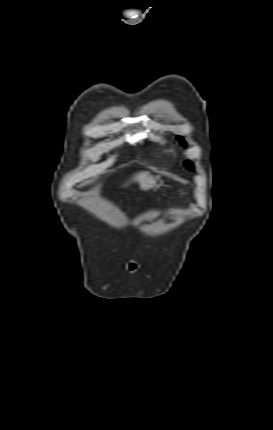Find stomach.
I'll return each mask as SVG.
<instances>
[{
	"instance_id": "stomach-1",
	"label": "stomach",
	"mask_w": 273,
	"mask_h": 430,
	"mask_svg": "<svg viewBox=\"0 0 273 430\" xmlns=\"http://www.w3.org/2000/svg\"><path fill=\"white\" fill-rule=\"evenodd\" d=\"M155 185H156V178L153 176L147 177L140 183V187L142 190H149L153 188Z\"/></svg>"
}]
</instances>
